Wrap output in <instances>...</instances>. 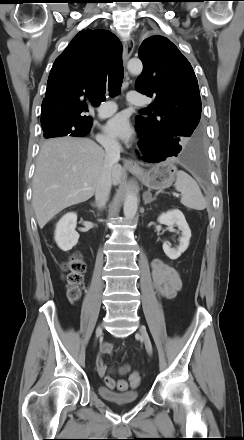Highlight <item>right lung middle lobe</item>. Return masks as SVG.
Here are the masks:
<instances>
[{
	"instance_id": "right-lung-middle-lobe-1",
	"label": "right lung middle lobe",
	"mask_w": 244,
	"mask_h": 440,
	"mask_svg": "<svg viewBox=\"0 0 244 440\" xmlns=\"http://www.w3.org/2000/svg\"><path fill=\"white\" fill-rule=\"evenodd\" d=\"M44 131V138L61 137V136H77L83 137L87 135L91 128V123L83 126H77L59 120H48L41 122Z\"/></svg>"
}]
</instances>
